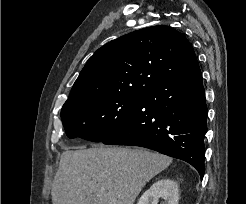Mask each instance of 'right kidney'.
<instances>
[{
    "label": "right kidney",
    "instance_id": "right-kidney-1",
    "mask_svg": "<svg viewBox=\"0 0 246 204\" xmlns=\"http://www.w3.org/2000/svg\"><path fill=\"white\" fill-rule=\"evenodd\" d=\"M164 200L163 204H178V185L171 179H161L156 181L140 197L137 204H158L159 199Z\"/></svg>",
    "mask_w": 246,
    "mask_h": 204
}]
</instances>
